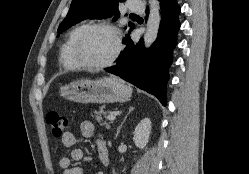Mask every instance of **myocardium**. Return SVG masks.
<instances>
[{"mask_svg": "<svg viewBox=\"0 0 249 174\" xmlns=\"http://www.w3.org/2000/svg\"><path fill=\"white\" fill-rule=\"evenodd\" d=\"M96 29L106 30L113 36L114 42H115V49L112 55L106 61L102 63H98V64H91L82 59L80 55V46L84 38L88 35V33ZM121 50H122V43H121V38H120L118 30L109 23L99 22V23L89 24L85 26V28L81 31V33L76 38L74 46H73V56L77 64L81 68H85L89 70H100V69H104V68L111 66L117 60Z\"/></svg>", "mask_w": 249, "mask_h": 174, "instance_id": "f54148a6", "label": "myocardium"}]
</instances>
